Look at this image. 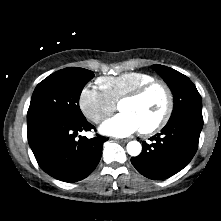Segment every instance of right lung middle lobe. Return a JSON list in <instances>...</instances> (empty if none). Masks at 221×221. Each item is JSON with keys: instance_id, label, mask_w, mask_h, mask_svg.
<instances>
[{"instance_id": "dd1d6c3e", "label": "right lung middle lobe", "mask_w": 221, "mask_h": 221, "mask_svg": "<svg viewBox=\"0 0 221 221\" xmlns=\"http://www.w3.org/2000/svg\"><path fill=\"white\" fill-rule=\"evenodd\" d=\"M94 77L90 70L69 67L49 75L32 95L27 125L50 117L84 119L79 98L84 86Z\"/></svg>"}]
</instances>
